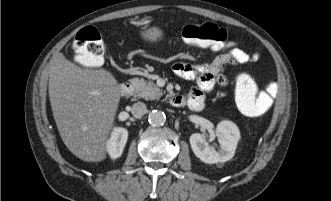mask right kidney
I'll return each instance as SVG.
<instances>
[{
    "mask_svg": "<svg viewBox=\"0 0 331 201\" xmlns=\"http://www.w3.org/2000/svg\"><path fill=\"white\" fill-rule=\"evenodd\" d=\"M128 131L125 128H115L107 142V151L112 159L122 155L127 142Z\"/></svg>",
    "mask_w": 331,
    "mask_h": 201,
    "instance_id": "ca27d5eb",
    "label": "right kidney"
}]
</instances>
